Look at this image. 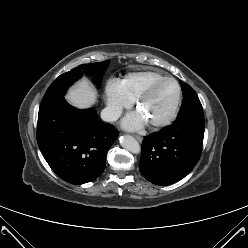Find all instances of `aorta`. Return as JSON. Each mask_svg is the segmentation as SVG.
<instances>
[{"instance_id":"obj_1","label":"aorta","mask_w":248,"mask_h":248,"mask_svg":"<svg viewBox=\"0 0 248 248\" xmlns=\"http://www.w3.org/2000/svg\"><path fill=\"white\" fill-rule=\"evenodd\" d=\"M120 144L123 148L130 151L131 153L138 154L140 153V145L136 139L130 135H124L120 138Z\"/></svg>"}]
</instances>
